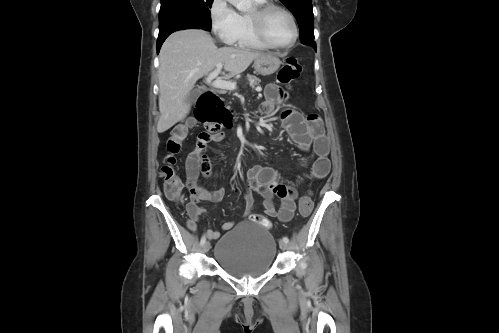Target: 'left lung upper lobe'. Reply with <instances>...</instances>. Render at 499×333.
<instances>
[{"label": "left lung upper lobe", "instance_id": "obj_1", "mask_svg": "<svg viewBox=\"0 0 499 333\" xmlns=\"http://www.w3.org/2000/svg\"><path fill=\"white\" fill-rule=\"evenodd\" d=\"M295 16L301 40H314L312 0H280Z\"/></svg>", "mask_w": 499, "mask_h": 333}]
</instances>
